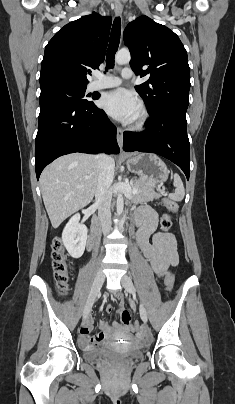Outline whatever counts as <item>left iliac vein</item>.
<instances>
[{"instance_id":"1","label":"left iliac vein","mask_w":235,"mask_h":404,"mask_svg":"<svg viewBox=\"0 0 235 404\" xmlns=\"http://www.w3.org/2000/svg\"><path fill=\"white\" fill-rule=\"evenodd\" d=\"M121 283H122L123 287L125 288V290L127 292H129L132 295L135 294L134 284H133L131 278L128 275H124L122 277ZM140 316H141L142 321L144 323H146L147 320H148V317H147L146 309H145V307H144V305L142 303H140Z\"/></svg>"}]
</instances>
